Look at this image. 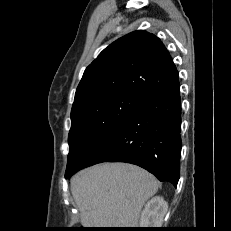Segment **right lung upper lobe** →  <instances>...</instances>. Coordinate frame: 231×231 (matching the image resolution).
Segmentation results:
<instances>
[{"instance_id": "obj_1", "label": "right lung upper lobe", "mask_w": 231, "mask_h": 231, "mask_svg": "<svg viewBox=\"0 0 231 231\" xmlns=\"http://www.w3.org/2000/svg\"><path fill=\"white\" fill-rule=\"evenodd\" d=\"M178 85V71L161 40L138 30L113 42L86 68L72 111L115 94L143 99Z\"/></svg>"}]
</instances>
